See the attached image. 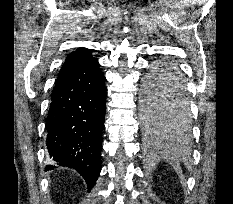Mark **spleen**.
Instances as JSON below:
<instances>
[{
    "mask_svg": "<svg viewBox=\"0 0 233 204\" xmlns=\"http://www.w3.org/2000/svg\"><path fill=\"white\" fill-rule=\"evenodd\" d=\"M168 153H170L171 155H182V161L185 165V167L189 170L190 169V158L188 156H186L184 153L182 152H178L176 150V148H172L170 149V151H168Z\"/></svg>",
    "mask_w": 233,
    "mask_h": 204,
    "instance_id": "1",
    "label": "spleen"
}]
</instances>
